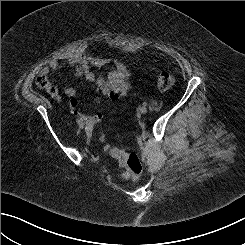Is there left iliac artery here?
Masks as SVG:
<instances>
[{"mask_svg": "<svg viewBox=\"0 0 245 245\" xmlns=\"http://www.w3.org/2000/svg\"><path fill=\"white\" fill-rule=\"evenodd\" d=\"M143 105L146 106L147 105V102H143Z\"/></svg>", "mask_w": 245, "mask_h": 245, "instance_id": "1", "label": "left iliac artery"}]
</instances>
